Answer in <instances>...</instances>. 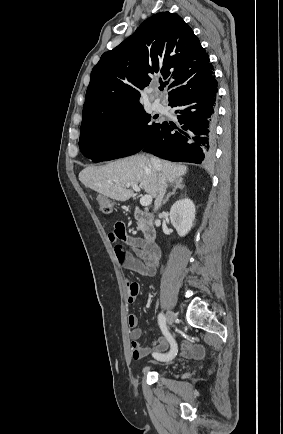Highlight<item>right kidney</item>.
<instances>
[{"instance_id":"right-kidney-1","label":"right kidney","mask_w":283,"mask_h":434,"mask_svg":"<svg viewBox=\"0 0 283 434\" xmlns=\"http://www.w3.org/2000/svg\"><path fill=\"white\" fill-rule=\"evenodd\" d=\"M195 206L188 199L176 201L170 209V220L179 236H185L192 228L195 219Z\"/></svg>"}]
</instances>
